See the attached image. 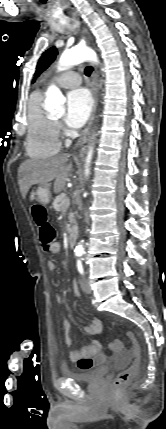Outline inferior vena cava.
<instances>
[{
  "label": "inferior vena cava",
  "mask_w": 166,
  "mask_h": 429,
  "mask_svg": "<svg viewBox=\"0 0 166 429\" xmlns=\"http://www.w3.org/2000/svg\"><path fill=\"white\" fill-rule=\"evenodd\" d=\"M88 221H89V220H88V217L86 216V217H85V222H86V223H88Z\"/></svg>",
  "instance_id": "inferior-vena-cava-1"
}]
</instances>
